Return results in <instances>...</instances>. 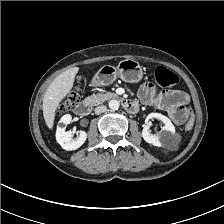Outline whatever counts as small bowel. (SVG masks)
I'll use <instances>...</instances> for the list:
<instances>
[{
    "label": "small bowel",
    "instance_id": "small-bowel-1",
    "mask_svg": "<svg viewBox=\"0 0 224 224\" xmlns=\"http://www.w3.org/2000/svg\"><path fill=\"white\" fill-rule=\"evenodd\" d=\"M138 96L142 103L157 106L167 112L176 124H181L186 120L184 105L188 103L189 96L185 92L159 90L150 84H144L140 87Z\"/></svg>",
    "mask_w": 224,
    "mask_h": 224
}]
</instances>
